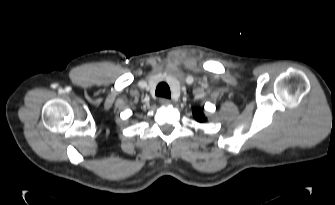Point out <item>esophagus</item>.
Instances as JSON below:
<instances>
[{
	"instance_id": "obj_1",
	"label": "esophagus",
	"mask_w": 335,
	"mask_h": 205,
	"mask_svg": "<svg viewBox=\"0 0 335 205\" xmlns=\"http://www.w3.org/2000/svg\"><path fill=\"white\" fill-rule=\"evenodd\" d=\"M171 101L167 98H161L160 99V104L163 105V106H168L170 105Z\"/></svg>"
}]
</instances>
